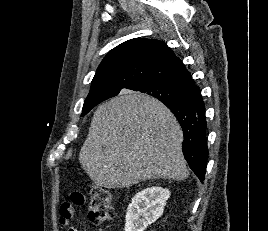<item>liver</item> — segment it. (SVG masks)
Instances as JSON below:
<instances>
[{"mask_svg": "<svg viewBox=\"0 0 268 231\" xmlns=\"http://www.w3.org/2000/svg\"><path fill=\"white\" fill-rule=\"evenodd\" d=\"M183 132L158 100L124 91L95 111L79 161L91 180L108 189L150 179L181 181L189 172Z\"/></svg>", "mask_w": 268, "mask_h": 231, "instance_id": "1", "label": "liver"}]
</instances>
